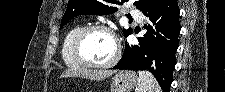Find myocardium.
I'll use <instances>...</instances> for the list:
<instances>
[{"instance_id": "myocardium-1", "label": "myocardium", "mask_w": 225, "mask_h": 92, "mask_svg": "<svg viewBox=\"0 0 225 92\" xmlns=\"http://www.w3.org/2000/svg\"><path fill=\"white\" fill-rule=\"evenodd\" d=\"M93 31H104V32L108 33L114 41L115 54L112 59H110L109 61H107L105 63H94L83 54V51H82L83 40L85 39V37L88 34H90ZM71 51L73 53L75 60L77 61V63L80 66L89 68V69H107V68L114 66L120 59L121 44H120V41H119L117 35L109 26H107L105 24L95 23V24H91V25L83 27L75 35V37L72 41V44H71Z\"/></svg>"}]
</instances>
